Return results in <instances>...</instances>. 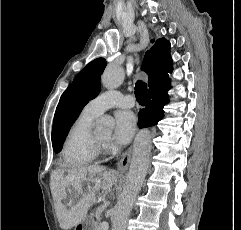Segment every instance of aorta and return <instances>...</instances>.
<instances>
[{"mask_svg": "<svg viewBox=\"0 0 241 230\" xmlns=\"http://www.w3.org/2000/svg\"><path fill=\"white\" fill-rule=\"evenodd\" d=\"M123 80L124 71L120 66L107 67L101 76V83L106 89L119 87ZM96 126L99 131L110 133L114 127V120L103 116L97 120ZM150 152L151 135L148 130H141L136 135L127 179L114 207L111 230H126L128 217L147 174Z\"/></svg>", "mask_w": 241, "mask_h": 230, "instance_id": "aorta-1", "label": "aorta"}]
</instances>
